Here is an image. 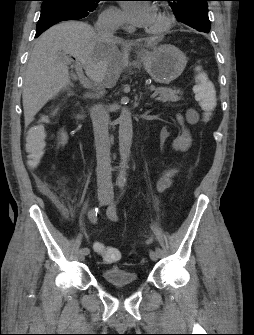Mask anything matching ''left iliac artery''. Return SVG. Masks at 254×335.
I'll list each match as a JSON object with an SVG mask.
<instances>
[{
	"mask_svg": "<svg viewBox=\"0 0 254 335\" xmlns=\"http://www.w3.org/2000/svg\"><path fill=\"white\" fill-rule=\"evenodd\" d=\"M119 187H120V194H119L118 200L115 202V204L109 206L108 209H107V215L109 216L110 219H112L114 221L118 220L117 203L124 196V193H125V183L120 184ZM155 252L159 256H161V255H163L164 250L160 246L155 245Z\"/></svg>",
	"mask_w": 254,
	"mask_h": 335,
	"instance_id": "left-iliac-artery-1",
	"label": "left iliac artery"
}]
</instances>
